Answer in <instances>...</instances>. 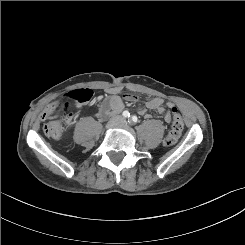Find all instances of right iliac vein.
Returning <instances> with one entry per match:
<instances>
[{"label": "right iliac vein", "instance_id": "1", "mask_svg": "<svg viewBox=\"0 0 245 245\" xmlns=\"http://www.w3.org/2000/svg\"><path fill=\"white\" fill-rule=\"evenodd\" d=\"M117 123H118V119H116V118L111 119V120L107 123L106 128H111V127L115 126Z\"/></svg>", "mask_w": 245, "mask_h": 245}]
</instances>
